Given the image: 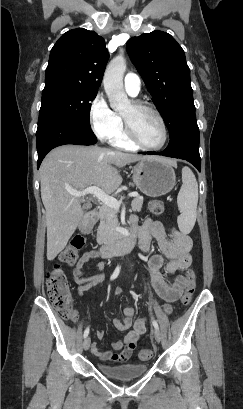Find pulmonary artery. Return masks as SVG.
Returning <instances> with one entry per match:
<instances>
[{
	"label": "pulmonary artery",
	"mask_w": 243,
	"mask_h": 409,
	"mask_svg": "<svg viewBox=\"0 0 243 409\" xmlns=\"http://www.w3.org/2000/svg\"><path fill=\"white\" fill-rule=\"evenodd\" d=\"M124 88L131 96H137L141 89V80L136 73H127L124 78Z\"/></svg>",
	"instance_id": "e3ab8cb5"
}]
</instances>
